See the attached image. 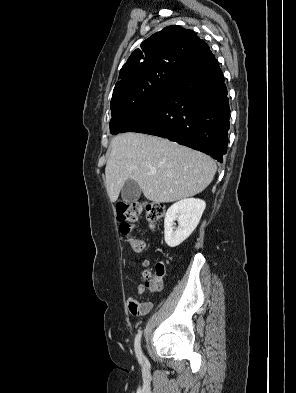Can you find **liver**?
<instances>
[{"label":"liver","instance_id":"obj_1","mask_svg":"<svg viewBox=\"0 0 296 393\" xmlns=\"http://www.w3.org/2000/svg\"><path fill=\"white\" fill-rule=\"evenodd\" d=\"M216 170L215 161L199 151L161 137L128 132L111 141L105 183L111 202L117 201L125 182L133 179L146 199L168 203L202 192Z\"/></svg>","mask_w":296,"mask_h":393}]
</instances>
